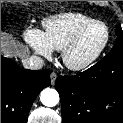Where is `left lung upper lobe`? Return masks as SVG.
Instances as JSON below:
<instances>
[{
	"instance_id": "1",
	"label": "left lung upper lobe",
	"mask_w": 123,
	"mask_h": 123,
	"mask_svg": "<svg viewBox=\"0 0 123 123\" xmlns=\"http://www.w3.org/2000/svg\"><path fill=\"white\" fill-rule=\"evenodd\" d=\"M116 34L118 36L114 48L111 52L117 51V50H123V31L121 29L120 25H117L116 27Z\"/></svg>"
}]
</instances>
